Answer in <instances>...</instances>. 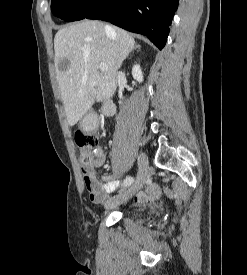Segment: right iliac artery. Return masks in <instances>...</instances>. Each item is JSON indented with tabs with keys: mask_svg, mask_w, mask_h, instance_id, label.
<instances>
[{
	"mask_svg": "<svg viewBox=\"0 0 247 275\" xmlns=\"http://www.w3.org/2000/svg\"><path fill=\"white\" fill-rule=\"evenodd\" d=\"M134 179L131 176L126 177V179L123 182V186L127 187L133 183Z\"/></svg>",
	"mask_w": 247,
	"mask_h": 275,
	"instance_id": "right-iliac-artery-1",
	"label": "right iliac artery"
}]
</instances>
